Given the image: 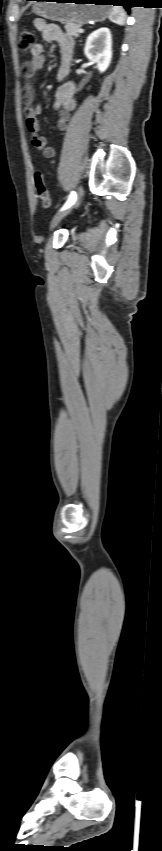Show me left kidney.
Listing matches in <instances>:
<instances>
[{"label":"left kidney","instance_id":"1","mask_svg":"<svg viewBox=\"0 0 162 851\" xmlns=\"http://www.w3.org/2000/svg\"><path fill=\"white\" fill-rule=\"evenodd\" d=\"M85 56L97 64L100 73L105 72L112 60V37L108 28L102 27L92 32L86 40Z\"/></svg>","mask_w":162,"mask_h":851}]
</instances>
